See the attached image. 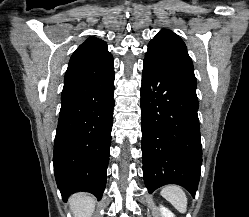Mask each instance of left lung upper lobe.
Returning a JSON list of instances; mask_svg holds the SVG:
<instances>
[{
  "label": "left lung upper lobe",
  "mask_w": 249,
  "mask_h": 217,
  "mask_svg": "<svg viewBox=\"0 0 249 217\" xmlns=\"http://www.w3.org/2000/svg\"><path fill=\"white\" fill-rule=\"evenodd\" d=\"M143 64L161 72L185 77L196 82L193 63L183 40L163 29L148 44Z\"/></svg>",
  "instance_id": "5c2ea615"
}]
</instances>
